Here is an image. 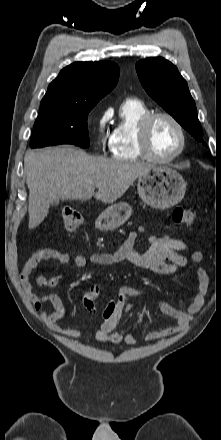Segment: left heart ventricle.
<instances>
[{
	"instance_id": "obj_1",
	"label": "left heart ventricle",
	"mask_w": 221,
	"mask_h": 440,
	"mask_svg": "<svg viewBox=\"0 0 221 440\" xmlns=\"http://www.w3.org/2000/svg\"><path fill=\"white\" fill-rule=\"evenodd\" d=\"M180 146V136L175 125L166 118H158L150 129V147L159 157H170Z\"/></svg>"
}]
</instances>
